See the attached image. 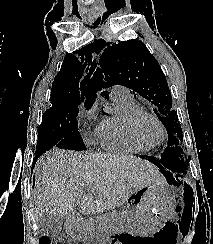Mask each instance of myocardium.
I'll return each instance as SVG.
<instances>
[{
    "label": "myocardium",
    "mask_w": 213,
    "mask_h": 244,
    "mask_svg": "<svg viewBox=\"0 0 213 244\" xmlns=\"http://www.w3.org/2000/svg\"><path fill=\"white\" fill-rule=\"evenodd\" d=\"M144 119H151L159 126L162 136L158 142H156V143L149 142L142 136V134L140 132V124ZM127 129H128L129 134L135 141H137L149 148H154V147L161 145L165 141L166 136H167V132H166V129H165L162 121L155 114L144 111V110L135 112L128 118Z\"/></svg>",
    "instance_id": "1"
}]
</instances>
